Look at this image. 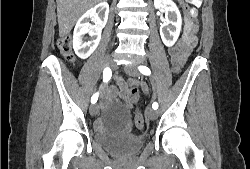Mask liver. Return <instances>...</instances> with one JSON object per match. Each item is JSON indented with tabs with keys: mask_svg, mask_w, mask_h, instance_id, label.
I'll use <instances>...</instances> for the list:
<instances>
[{
	"mask_svg": "<svg viewBox=\"0 0 250 169\" xmlns=\"http://www.w3.org/2000/svg\"><path fill=\"white\" fill-rule=\"evenodd\" d=\"M56 2L59 36H66L82 12L101 0H56Z\"/></svg>",
	"mask_w": 250,
	"mask_h": 169,
	"instance_id": "1",
	"label": "liver"
}]
</instances>
